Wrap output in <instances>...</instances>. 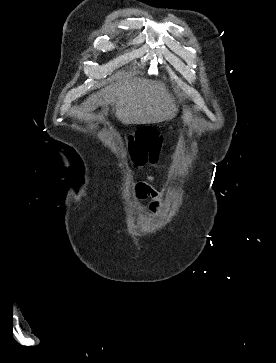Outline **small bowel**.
Wrapping results in <instances>:
<instances>
[{
  "label": "small bowel",
  "mask_w": 276,
  "mask_h": 363,
  "mask_svg": "<svg viewBox=\"0 0 276 363\" xmlns=\"http://www.w3.org/2000/svg\"><path fill=\"white\" fill-rule=\"evenodd\" d=\"M154 179L155 178L150 175L147 177V181H140L136 185L137 198L140 200L150 199L152 201L153 208L158 206L160 198L159 191L152 187L149 183L154 181Z\"/></svg>",
  "instance_id": "1"
}]
</instances>
